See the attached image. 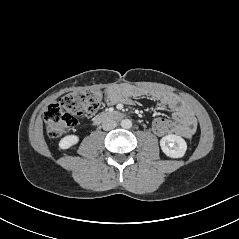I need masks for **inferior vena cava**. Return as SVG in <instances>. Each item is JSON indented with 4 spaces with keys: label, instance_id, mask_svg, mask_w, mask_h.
<instances>
[{
    "label": "inferior vena cava",
    "instance_id": "inferior-vena-cava-1",
    "mask_svg": "<svg viewBox=\"0 0 239 239\" xmlns=\"http://www.w3.org/2000/svg\"><path fill=\"white\" fill-rule=\"evenodd\" d=\"M117 126V122L111 118H106L103 122H102V128L105 131H109L114 129Z\"/></svg>",
    "mask_w": 239,
    "mask_h": 239
}]
</instances>
